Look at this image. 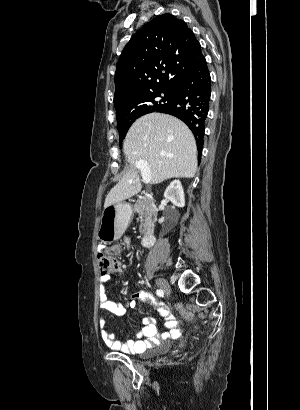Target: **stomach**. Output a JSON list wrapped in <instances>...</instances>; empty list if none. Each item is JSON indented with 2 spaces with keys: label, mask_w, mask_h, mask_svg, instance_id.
<instances>
[{
  "label": "stomach",
  "mask_w": 300,
  "mask_h": 410,
  "mask_svg": "<svg viewBox=\"0 0 300 410\" xmlns=\"http://www.w3.org/2000/svg\"><path fill=\"white\" fill-rule=\"evenodd\" d=\"M132 217V207L124 202L114 203L104 208L98 238L106 243L119 239L125 232Z\"/></svg>",
  "instance_id": "obj_1"
}]
</instances>
